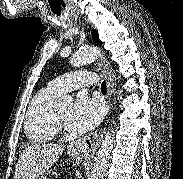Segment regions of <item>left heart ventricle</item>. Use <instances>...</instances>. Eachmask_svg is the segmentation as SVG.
I'll return each instance as SVG.
<instances>
[{
  "mask_svg": "<svg viewBox=\"0 0 183 179\" xmlns=\"http://www.w3.org/2000/svg\"><path fill=\"white\" fill-rule=\"evenodd\" d=\"M71 111V107H65L57 111L60 119L64 122L65 125H67Z\"/></svg>",
  "mask_w": 183,
  "mask_h": 179,
  "instance_id": "1",
  "label": "left heart ventricle"
}]
</instances>
